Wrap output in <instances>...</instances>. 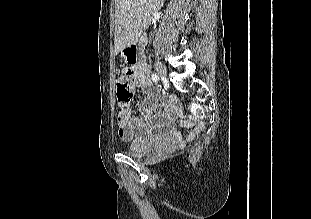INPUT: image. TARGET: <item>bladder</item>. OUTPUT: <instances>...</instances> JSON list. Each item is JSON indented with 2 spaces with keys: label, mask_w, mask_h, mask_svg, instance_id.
I'll use <instances>...</instances> for the list:
<instances>
[{
  "label": "bladder",
  "mask_w": 311,
  "mask_h": 219,
  "mask_svg": "<svg viewBox=\"0 0 311 219\" xmlns=\"http://www.w3.org/2000/svg\"><path fill=\"white\" fill-rule=\"evenodd\" d=\"M153 150L148 142L145 141H133L128 147V154L132 157H140L147 155Z\"/></svg>",
  "instance_id": "bladder-1"
}]
</instances>
